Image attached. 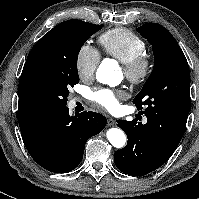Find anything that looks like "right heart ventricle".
I'll return each instance as SVG.
<instances>
[{
    "mask_svg": "<svg viewBox=\"0 0 199 199\" xmlns=\"http://www.w3.org/2000/svg\"><path fill=\"white\" fill-rule=\"evenodd\" d=\"M104 52L119 60L129 61L145 52V42L134 32L126 28H115L106 31L99 37Z\"/></svg>",
    "mask_w": 199,
    "mask_h": 199,
    "instance_id": "obj_1",
    "label": "right heart ventricle"
}]
</instances>
